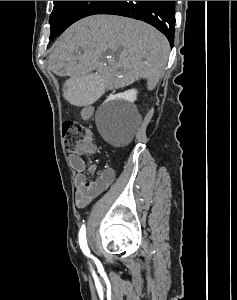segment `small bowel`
Instances as JSON below:
<instances>
[{
  "instance_id": "small-bowel-1",
  "label": "small bowel",
  "mask_w": 237,
  "mask_h": 300,
  "mask_svg": "<svg viewBox=\"0 0 237 300\" xmlns=\"http://www.w3.org/2000/svg\"><path fill=\"white\" fill-rule=\"evenodd\" d=\"M93 111L94 108L91 104L85 105L81 111L82 118L89 119L92 116ZM94 153V146H91L85 152V154L89 155H93ZM69 161L73 169L76 171L75 203L78 208H84L87 206L93 199L107 190L114 182L115 171L111 167H105L99 172L95 180H89L84 173L86 165L80 155H70Z\"/></svg>"
}]
</instances>
